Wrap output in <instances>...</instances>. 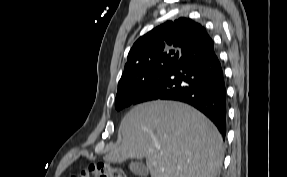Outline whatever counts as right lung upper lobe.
I'll list each match as a JSON object with an SVG mask.
<instances>
[{
    "mask_svg": "<svg viewBox=\"0 0 287 177\" xmlns=\"http://www.w3.org/2000/svg\"><path fill=\"white\" fill-rule=\"evenodd\" d=\"M205 30L189 18L167 21L140 37L129 51L127 63L118 85L135 79L155 62L180 57L188 44Z\"/></svg>",
    "mask_w": 287,
    "mask_h": 177,
    "instance_id": "cb5924a9",
    "label": "right lung upper lobe"
}]
</instances>
